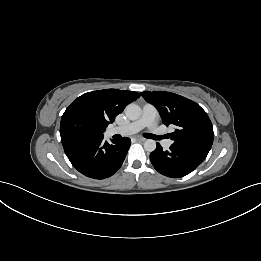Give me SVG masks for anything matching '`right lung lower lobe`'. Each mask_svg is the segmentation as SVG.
<instances>
[{
    "label": "right lung lower lobe",
    "instance_id": "1",
    "mask_svg": "<svg viewBox=\"0 0 261 261\" xmlns=\"http://www.w3.org/2000/svg\"><path fill=\"white\" fill-rule=\"evenodd\" d=\"M61 141L74 168L94 179L112 176L121 167L131 144L126 137L109 144L103 136H64Z\"/></svg>",
    "mask_w": 261,
    "mask_h": 261
}]
</instances>
